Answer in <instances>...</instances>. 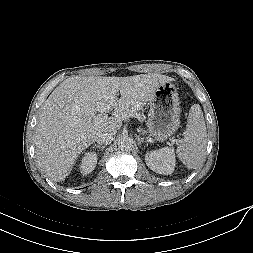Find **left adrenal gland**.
<instances>
[{
  "instance_id": "obj_1",
  "label": "left adrenal gland",
  "mask_w": 253,
  "mask_h": 253,
  "mask_svg": "<svg viewBox=\"0 0 253 253\" xmlns=\"http://www.w3.org/2000/svg\"><path fill=\"white\" fill-rule=\"evenodd\" d=\"M137 139H138V144H142V143H145V139L140 137V136H137Z\"/></svg>"
}]
</instances>
